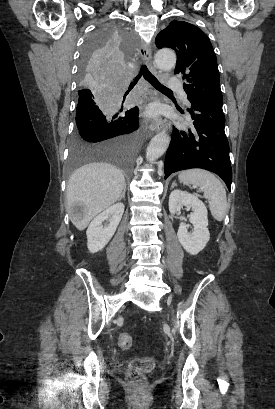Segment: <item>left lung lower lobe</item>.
Listing matches in <instances>:
<instances>
[{
	"mask_svg": "<svg viewBox=\"0 0 275 409\" xmlns=\"http://www.w3.org/2000/svg\"><path fill=\"white\" fill-rule=\"evenodd\" d=\"M190 103L187 110L194 120L193 126L186 131L173 128L165 158V179L180 170L202 168L219 175L230 191L232 170L222 106Z\"/></svg>",
	"mask_w": 275,
	"mask_h": 409,
	"instance_id": "obj_1",
	"label": "left lung lower lobe"
}]
</instances>
